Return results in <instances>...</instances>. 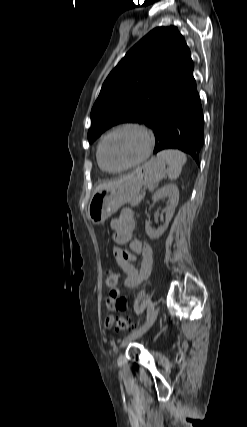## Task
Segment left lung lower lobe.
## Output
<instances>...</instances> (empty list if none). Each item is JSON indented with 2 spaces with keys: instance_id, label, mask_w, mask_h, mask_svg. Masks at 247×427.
Returning a JSON list of instances; mask_svg holds the SVG:
<instances>
[{
  "instance_id": "1",
  "label": "left lung lower lobe",
  "mask_w": 247,
  "mask_h": 427,
  "mask_svg": "<svg viewBox=\"0 0 247 427\" xmlns=\"http://www.w3.org/2000/svg\"><path fill=\"white\" fill-rule=\"evenodd\" d=\"M151 128L157 140L154 153L179 149L190 154L199 165L204 119L194 78L166 100Z\"/></svg>"
}]
</instances>
